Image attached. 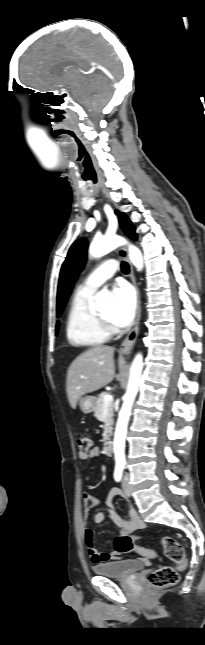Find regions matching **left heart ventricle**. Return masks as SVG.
<instances>
[{"mask_svg":"<svg viewBox=\"0 0 205 645\" xmlns=\"http://www.w3.org/2000/svg\"><path fill=\"white\" fill-rule=\"evenodd\" d=\"M102 316L113 322V306L109 305L99 312Z\"/></svg>","mask_w":205,"mask_h":645,"instance_id":"b2bd125f","label":"left heart ventricle"}]
</instances>
